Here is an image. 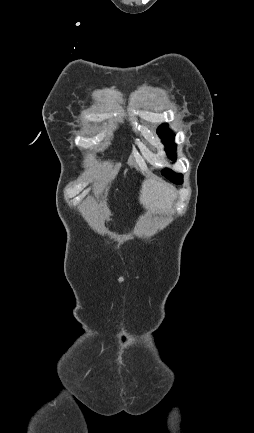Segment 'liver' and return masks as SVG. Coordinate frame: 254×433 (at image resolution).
<instances>
[{
	"mask_svg": "<svg viewBox=\"0 0 254 433\" xmlns=\"http://www.w3.org/2000/svg\"><path fill=\"white\" fill-rule=\"evenodd\" d=\"M175 197L176 193L171 185L163 181L147 179L142 184L139 199L149 211L165 212L170 209Z\"/></svg>",
	"mask_w": 254,
	"mask_h": 433,
	"instance_id": "1",
	"label": "liver"
}]
</instances>
